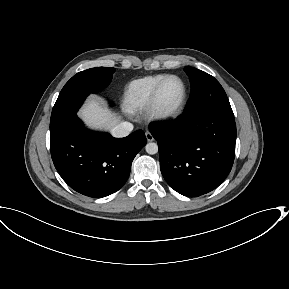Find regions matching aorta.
<instances>
[{"instance_id":"1","label":"aorta","mask_w":289,"mask_h":289,"mask_svg":"<svg viewBox=\"0 0 289 289\" xmlns=\"http://www.w3.org/2000/svg\"><path fill=\"white\" fill-rule=\"evenodd\" d=\"M145 150L150 155L156 154L158 152V145L154 142L147 143L145 146Z\"/></svg>"}]
</instances>
